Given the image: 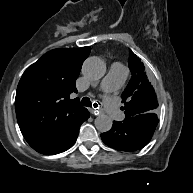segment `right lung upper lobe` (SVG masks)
Here are the masks:
<instances>
[{
    "instance_id": "cb5924a9",
    "label": "right lung upper lobe",
    "mask_w": 193,
    "mask_h": 193,
    "mask_svg": "<svg viewBox=\"0 0 193 193\" xmlns=\"http://www.w3.org/2000/svg\"><path fill=\"white\" fill-rule=\"evenodd\" d=\"M91 47L54 49L24 72L15 109L22 135L37 150L64 140L88 113L78 99L75 81Z\"/></svg>"
}]
</instances>
